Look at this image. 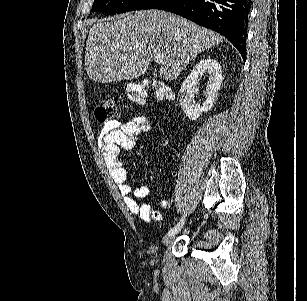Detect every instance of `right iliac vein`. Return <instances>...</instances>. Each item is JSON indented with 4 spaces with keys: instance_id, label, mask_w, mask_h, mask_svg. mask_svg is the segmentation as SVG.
<instances>
[{
    "instance_id": "63e3f726",
    "label": "right iliac vein",
    "mask_w": 307,
    "mask_h": 301,
    "mask_svg": "<svg viewBox=\"0 0 307 301\" xmlns=\"http://www.w3.org/2000/svg\"><path fill=\"white\" fill-rule=\"evenodd\" d=\"M174 238H175V234H167V235H165L164 237H163V239H162V243H163V245H168V244H170L173 240H174Z\"/></svg>"
}]
</instances>
